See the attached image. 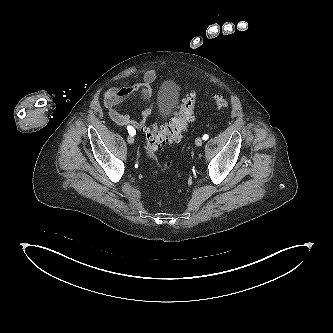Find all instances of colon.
Returning a JSON list of instances; mask_svg holds the SVG:
<instances>
[{
  "label": "colon",
  "mask_w": 333,
  "mask_h": 333,
  "mask_svg": "<svg viewBox=\"0 0 333 333\" xmlns=\"http://www.w3.org/2000/svg\"><path fill=\"white\" fill-rule=\"evenodd\" d=\"M196 92L191 91L182 100L178 112L163 126L156 124L145 128V151L150 159H154L162 146L168 143H179L190 123L195 118ZM213 102L217 110L223 112L228 107L227 100L219 94L213 95ZM159 170H166L169 164L158 166ZM156 171L155 173H157Z\"/></svg>",
  "instance_id": "5ec220e1"
}]
</instances>
